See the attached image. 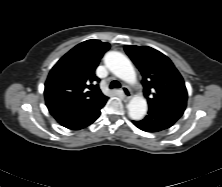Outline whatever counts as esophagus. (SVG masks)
I'll list each match as a JSON object with an SVG mask.
<instances>
[{"instance_id": "esophagus-1", "label": "esophagus", "mask_w": 222, "mask_h": 187, "mask_svg": "<svg viewBox=\"0 0 222 187\" xmlns=\"http://www.w3.org/2000/svg\"><path fill=\"white\" fill-rule=\"evenodd\" d=\"M122 93L125 99L129 100L131 98V91L129 90L127 86L122 87Z\"/></svg>"}]
</instances>
